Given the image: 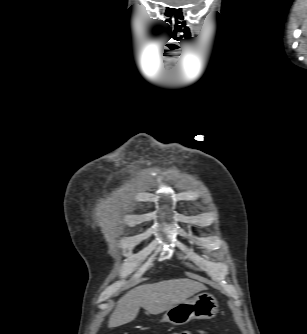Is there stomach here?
<instances>
[{
	"mask_svg": "<svg viewBox=\"0 0 307 334\" xmlns=\"http://www.w3.org/2000/svg\"><path fill=\"white\" fill-rule=\"evenodd\" d=\"M218 312V302L210 293H200L166 310L162 321L184 325L193 319H211Z\"/></svg>",
	"mask_w": 307,
	"mask_h": 334,
	"instance_id": "0dacf381",
	"label": "stomach"
}]
</instances>
